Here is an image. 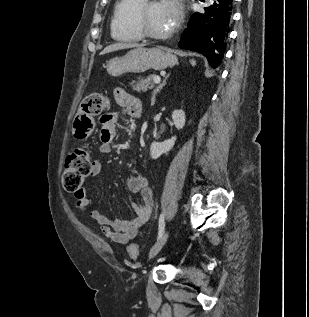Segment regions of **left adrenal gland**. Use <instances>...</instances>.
<instances>
[{"mask_svg":"<svg viewBox=\"0 0 309 317\" xmlns=\"http://www.w3.org/2000/svg\"><path fill=\"white\" fill-rule=\"evenodd\" d=\"M169 76H170V73L168 75H166V77L163 80V82L154 89L153 94H152V98H151V101L153 103L155 102L156 94L166 85V81H167Z\"/></svg>","mask_w":309,"mask_h":317,"instance_id":"left-adrenal-gland-1","label":"left adrenal gland"}]
</instances>
